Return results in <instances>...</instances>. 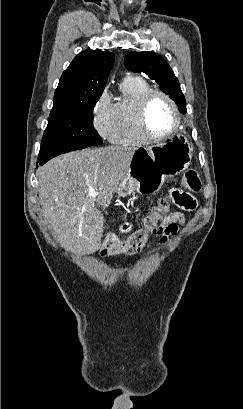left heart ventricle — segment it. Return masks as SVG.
Masks as SVG:
<instances>
[{
	"mask_svg": "<svg viewBox=\"0 0 243 409\" xmlns=\"http://www.w3.org/2000/svg\"><path fill=\"white\" fill-rule=\"evenodd\" d=\"M147 123L155 135H164L175 126V117L169 103L160 96L151 99L147 109Z\"/></svg>",
	"mask_w": 243,
	"mask_h": 409,
	"instance_id": "b2bd125f",
	"label": "left heart ventricle"
}]
</instances>
